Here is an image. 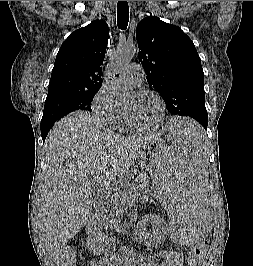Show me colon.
Returning <instances> with one entry per match:
<instances>
[{
	"mask_svg": "<svg viewBox=\"0 0 253 266\" xmlns=\"http://www.w3.org/2000/svg\"><path fill=\"white\" fill-rule=\"evenodd\" d=\"M207 250V242H204L203 248H192L189 260L190 262H197L203 258ZM62 266H77V257L72 251H68L61 259Z\"/></svg>",
	"mask_w": 253,
	"mask_h": 266,
	"instance_id": "colon-1",
	"label": "colon"
}]
</instances>
